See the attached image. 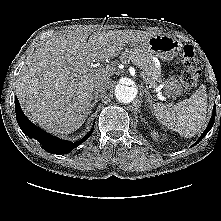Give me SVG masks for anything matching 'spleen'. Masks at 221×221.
Wrapping results in <instances>:
<instances>
[{
  "label": "spleen",
  "instance_id": "3e777b00",
  "mask_svg": "<svg viewBox=\"0 0 221 221\" xmlns=\"http://www.w3.org/2000/svg\"><path fill=\"white\" fill-rule=\"evenodd\" d=\"M153 110L156 118L163 125L178 132L182 137H192L206 122V88L200 86L190 98L173 106L157 103Z\"/></svg>",
  "mask_w": 221,
  "mask_h": 221
}]
</instances>
